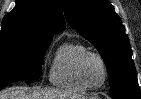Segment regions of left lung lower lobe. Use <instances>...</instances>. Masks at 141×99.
Returning a JSON list of instances; mask_svg holds the SVG:
<instances>
[{
  "label": "left lung lower lobe",
  "mask_w": 141,
  "mask_h": 99,
  "mask_svg": "<svg viewBox=\"0 0 141 99\" xmlns=\"http://www.w3.org/2000/svg\"><path fill=\"white\" fill-rule=\"evenodd\" d=\"M116 99H119V98H116ZM127 99H132V98H127Z\"/></svg>",
  "instance_id": "0a47b994"
}]
</instances>
